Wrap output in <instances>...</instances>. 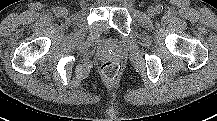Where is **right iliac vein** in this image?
Returning a JSON list of instances; mask_svg holds the SVG:
<instances>
[{
	"mask_svg": "<svg viewBox=\"0 0 217 121\" xmlns=\"http://www.w3.org/2000/svg\"><path fill=\"white\" fill-rule=\"evenodd\" d=\"M61 16H63V17H66L68 14H69V12H68V10L66 9V8H62L61 10H60V13H59Z\"/></svg>",
	"mask_w": 217,
	"mask_h": 121,
	"instance_id": "1",
	"label": "right iliac vein"
}]
</instances>
